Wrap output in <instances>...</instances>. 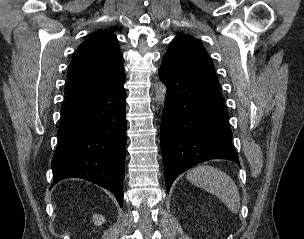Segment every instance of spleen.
<instances>
[{"instance_id":"obj_1","label":"spleen","mask_w":304,"mask_h":239,"mask_svg":"<svg viewBox=\"0 0 304 239\" xmlns=\"http://www.w3.org/2000/svg\"><path fill=\"white\" fill-rule=\"evenodd\" d=\"M187 180L217 196L233 213L240 208V195L234 181L221 170L207 165L193 168L187 174Z\"/></svg>"}]
</instances>
